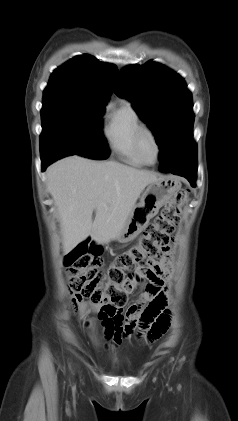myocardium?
<instances>
[{"label":"myocardium","mask_w":238,"mask_h":421,"mask_svg":"<svg viewBox=\"0 0 238 421\" xmlns=\"http://www.w3.org/2000/svg\"><path fill=\"white\" fill-rule=\"evenodd\" d=\"M146 138H149L154 147H155V156L153 160H150L147 155L146 152L144 150V140ZM136 147L137 150L141 156V158L145 161L146 164L148 165H152L155 164L160 156L161 153V146L160 143L158 141V138L155 134V132L153 131L152 128H150L149 126L143 125L140 127V129L137 132L136 135Z\"/></svg>","instance_id":"1"}]
</instances>
